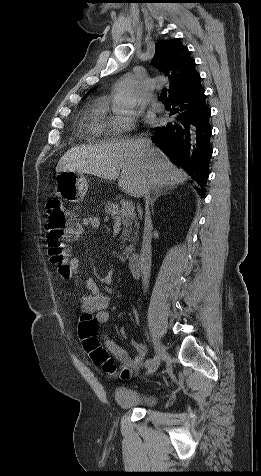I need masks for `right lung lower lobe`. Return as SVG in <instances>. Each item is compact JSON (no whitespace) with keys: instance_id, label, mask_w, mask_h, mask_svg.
Returning a JSON list of instances; mask_svg holds the SVG:
<instances>
[{"instance_id":"obj_1","label":"right lung lower lobe","mask_w":261,"mask_h":476,"mask_svg":"<svg viewBox=\"0 0 261 476\" xmlns=\"http://www.w3.org/2000/svg\"><path fill=\"white\" fill-rule=\"evenodd\" d=\"M204 92L199 77L191 88L171 98V120L155 128L152 138L155 145L192 176L202 194L205 192L212 157L211 111Z\"/></svg>"}]
</instances>
